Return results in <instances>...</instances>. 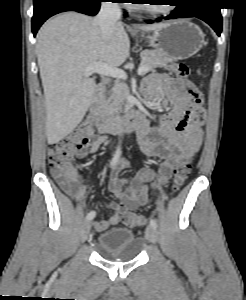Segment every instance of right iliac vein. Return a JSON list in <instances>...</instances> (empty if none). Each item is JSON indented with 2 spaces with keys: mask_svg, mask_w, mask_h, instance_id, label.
I'll return each instance as SVG.
<instances>
[{
  "mask_svg": "<svg viewBox=\"0 0 246 300\" xmlns=\"http://www.w3.org/2000/svg\"><path fill=\"white\" fill-rule=\"evenodd\" d=\"M90 228H91V222L90 221L85 222L80 234V242L86 241Z\"/></svg>",
  "mask_w": 246,
  "mask_h": 300,
  "instance_id": "right-iliac-vein-1",
  "label": "right iliac vein"
}]
</instances>
